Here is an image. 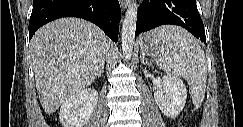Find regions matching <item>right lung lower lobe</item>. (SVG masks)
<instances>
[{"instance_id":"obj_1","label":"right lung lower lobe","mask_w":243,"mask_h":127,"mask_svg":"<svg viewBox=\"0 0 243 127\" xmlns=\"http://www.w3.org/2000/svg\"><path fill=\"white\" fill-rule=\"evenodd\" d=\"M62 17H78L99 26L114 42L118 41L121 9L118 0H33L29 40L44 24Z\"/></svg>"}]
</instances>
